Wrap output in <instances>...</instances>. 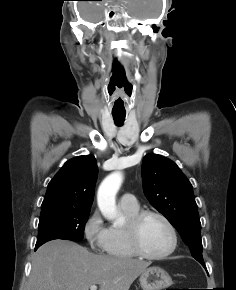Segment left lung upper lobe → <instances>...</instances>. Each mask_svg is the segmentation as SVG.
<instances>
[{
  "label": "left lung upper lobe",
  "mask_w": 236,
  "mask_h": 290,
  "mask_svg": "<svg viewBox=\"0 0 236 290\" xmlns=\"http://www.w3.org/2000/svg\"><path fill=\"white\" fill-rule=\"evenodd\" d=\"M142 181L151 205L177 229L193 257L204 263L201 223L193 188L186 176L172 160L149 154L143 159Z\"/></svg>",
  "instance_id": "left-lung-upper-lobe-1"
}]
</instances>
